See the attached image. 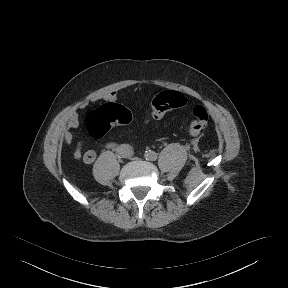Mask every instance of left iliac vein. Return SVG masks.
I'll use <instances>...</instances> for the list:
<instances>
[{
	"mask_svg": "<svg viewBox=\"0 0 288 288\" xmlns=\"http://www.w3.org/2000/svg\"><path fill=\"white\" fill-rule=\"evenodd\" d=\"M139 158H134V160H138Z\"/></svg>",
	"mask_w": 288,
	"mask_h": 288,
	"instance_id": "4c4485c4",
	"label": "left iliac vein"
}]
</instances>
